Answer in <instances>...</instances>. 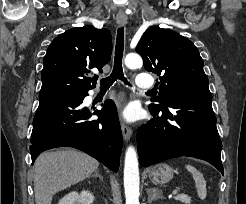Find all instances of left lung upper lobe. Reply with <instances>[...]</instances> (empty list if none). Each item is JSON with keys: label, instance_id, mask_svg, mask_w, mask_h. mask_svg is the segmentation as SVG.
<instances>
[{"label": "left lung upper lobe", "instance_id": "5c2ea615", "mask_svg": "<svg viewBox=\"0 0 246 204\" xmlns=\"http://www.w3.org/2000/svg\"><path fill=\"white\" fill-rule=\"evenodd\" d=\"M136 51L145 69L160 76L159 96L151 98L150 108L160 110L171 99H212L203 60L187 38L169 29L150 27Z\"/></svg>", "mask_w": 246, "mask_h": 204}]
</instances>
